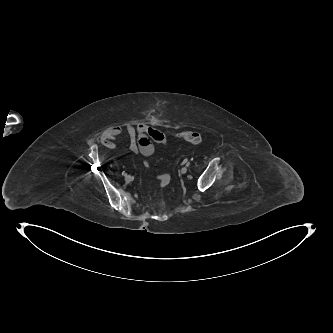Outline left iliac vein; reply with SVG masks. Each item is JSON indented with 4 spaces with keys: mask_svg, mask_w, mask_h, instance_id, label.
<instances>
[{
    "mask_svg": "<svg viewBox=\"0 0 333 333\" xmlns=\"http://www.w3.org/2000/svg\"><path fill=\"white\" fill-rule=\"evenodd\" d=\"M187 172V167H183L181 170H180V173L181 174H185Z\"/></svg>",
    "mask_w": 333,
    "mask_h": 333,
    "instance_id": "1",
    "label": "left iliac vein"
}]
</instances>
